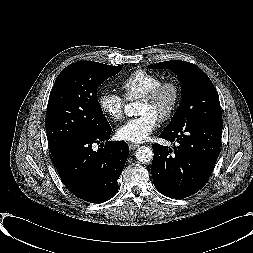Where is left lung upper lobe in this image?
I'll list each match as a JSON object with an SVG mask.
<instances>
[{
    "label": "left lung upper lobe",
    "mask_w": 253,
    "mask_h": 253,
    "mask_svg": "<svg viewBox=\"0 0 253 253\" xmlns=\"http://www.w3.org/2000/svg\"><path fill=\"white\" fill-rule=\"evenodd\" d=\"M149 67L171 69L182 83V102L163 131L174 132L193 121L222 120L217 91L199 67L179 60L160 62Z\"/></svg>",
    "instance_id": "1"
}]
</instances>
